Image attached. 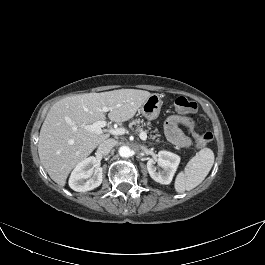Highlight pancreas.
I'll use <instances>...</instances> for the list:
<instances>
[{"mask_svg": "<svg viewBox=\"0 0 265 265\" xmlns=\"http://www.w3.org/2000/svg\"><path fill=\"white\" fill-rule=\"evenodd\" d=\"M139 124H142V125H144V126H149L150 124L149 123H143V121H141V120H134V121H132L131 123H130V127H132L133 125H139ZM158 135H151L150 136V138L151 139H155L156 137H157Z\"/></svg>", "mask_w": 265, "mask_h": 265, "instance_id": "cf45deb5", "label": "pancreas"}]
</instances>
